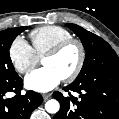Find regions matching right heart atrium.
Listing matches in <instances>:
<instances>
[{"label":"right heart atrium","mask_w":119,"mask_h":119,"mask_svg":"<svg viewBox=\"0 0 119 119\" xmlns=\"http://www.w3.org/2000/svg\"><path fill=\"white\" fill-rule=\"evenodd\" d=\"M9 58L20 74L29 73L39 62L32 46L21 36L16 37L9 47Z\"/></svg>","instance_id":"obj_1"}]
</instances>
